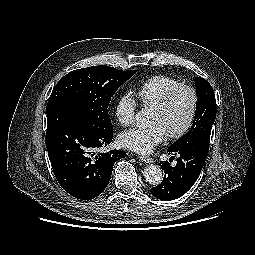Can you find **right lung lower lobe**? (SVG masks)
Wrapping results in <instances>:
<instances>
[{"mask_svg": "<svg viewBox=\"0 0 255 255\" xmlns=\"http://www.w3.org/2000/svg\"><path fill=\"white\" fill-rule=\"evenodd\" d=\"M112 131H101L79 111L60 105L47 113L45 143L53 172L61 187L81 200L101 194L114 163L126 156L121 150L96 154L110 144Z\"/></svg>", "mask_w": 255, "mask_h": 255, "instance_id": "right-lung-lower-lobe-1", "label": "right lung lower lobe"}]
</instances>
